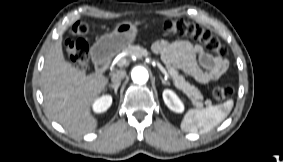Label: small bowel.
<instances>
[{
  "instance_id": "small-bowel-1",
  "label": "small bowel",
  "mask_w": 283,
  "mask_h": 162,
  "mask_svg": "<svg viewBox=\"0 0 283 162\" xmlns=\"http://www.w3.org/2000/svg\"><path fill=\"white\" fill-rule=\"evenodd\" d=\"M153 51L161 56L166 65L181 69L202 84L220 78L228 69L227 60L185 40H158L153 44Z\"/></svg>"
}]
</instances>
